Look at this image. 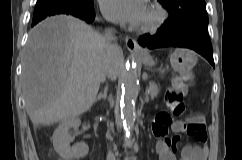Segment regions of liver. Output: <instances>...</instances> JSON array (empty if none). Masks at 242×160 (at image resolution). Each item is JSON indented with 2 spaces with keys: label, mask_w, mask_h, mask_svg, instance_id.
I'll return each instance as SVG.
<instances>
[{
  "label": "liver",
  "mask_w": 242,
  "mask_h": 160,
  "mask_svg": "<svg viewBox=\"0 0 242 160\" xmlns=\"http://www.w3.org/2000/svg\"><path fill=\"white\" fill-rule=\"evenodd\" d=\"M106 58L103 37L79 19L55 16L36 25L22 61V91L32 123L51 125L88 111ZM119 64L121 73L123 52Z\"/></svg>",
  "instance_id": "liver-1"
}]
</instances>
